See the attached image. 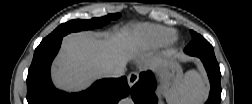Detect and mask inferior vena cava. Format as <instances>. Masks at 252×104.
Returning <instances> with one entry per match:
<instances>
[{"mask_svg": "<svg viewBox=\"0 0 252 104\" xmlns=\"http://www.w3.org/2000/svg\"><path fill=\"white\" fill-rule=\"evenodd\" d=\"M125 74V65L118 64L114 67H108L104 70V75L107 77L118 78Z\"/></svg>", "mask_w": 252, "mask_h": 104, "instance_id": "obj_1", "label": "inferior vena cava"}]
</instances>
